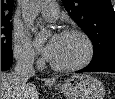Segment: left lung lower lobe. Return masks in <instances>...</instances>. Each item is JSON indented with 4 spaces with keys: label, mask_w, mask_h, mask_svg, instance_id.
Masks as SVG:
<instances>
[{
    "label": "left lung lower lobe",
    "mask_w": 115,
    "mask_h": 99,
    "mask_svg": "<svg viewBox=\"0 0 115 99\" xmlns=\"http://www.w3.org/2000/svg\"><path fill=\"white\" fill-rule=\"evenodd\" d=\"M77 72H112L115 73V60H108L99 64H89Z\"/></svg>",
    "instance_id": "obj_1"
}]
</instances>
